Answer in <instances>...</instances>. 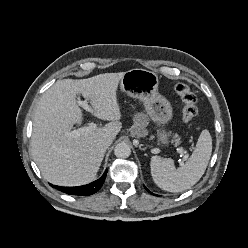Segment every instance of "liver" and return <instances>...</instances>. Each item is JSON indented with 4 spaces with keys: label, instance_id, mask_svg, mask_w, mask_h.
<instances>
[{
    "label": "liver",
    "instance_id": "liver-1",
    "mask_svg": "<svg viewBox=\"0 0 248 248\" xmlns=\"http://www.w3.org/2000/svg\"><path fill=\"white\" fill-rule=\"evenodd\" d=\"M124 73L58 80L42 95L33 117L31 151L45 180L59 186H79L95 179L106 151L98 141L114 140L122 128L117 88ZM78 94L90 102L97 118L111 122L72 138L67 134L82 119Z\"/></svg>",
    "mask_w": 248,
    "mask_h": 248
}]
</instances>
